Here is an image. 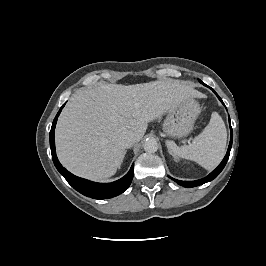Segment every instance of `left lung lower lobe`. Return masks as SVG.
I'll return each instance as SVG.
<instances>
[{
    "label": "left lung lower lobe",
    "instance_id": "left-lung-lower-lobe-1",
    "mask_svg": "<svg viewBox=\"0 0 266 266\" xmlns=\"http://www.w3.org/2000/svg\"><path fill=\"white\" fill-rule=\"evenodd\" d=\"M200 82L203 85L207 86L202 81H200ZM212 91L217 95V97L219 98V100L223 103V101L218 96V94L213 89H212ZM229 121H230V118H229ZM230 129H231V137H230V143H229V147H228L227 153H226L223 161L220 163V165L214 171H212L208 176H206L203 179L196 180V181H181V180H177V179H174V178H171V177L170 178L172 180H174L175 182H177L179 185L184 186V187H195V186H199V185H202V184L207 183L209 181H212L214 178H216L219 175V173L223 170V168L225 167V165H226V163L228 161V158H229L230 150H231V147H232V139H233V133H232L231 124H230Z\"/></svg>",
    "mask_w": 266,
    "mask_h": 266
}]
</instances>
